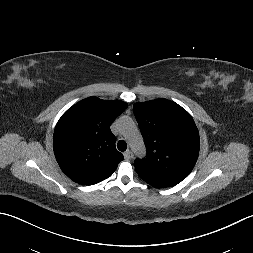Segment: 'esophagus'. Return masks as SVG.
<instances>
[{"label": "esophagus", "mask_w": 253, "mask_h": 253, "mask_svg": "<svg viewBox=\"0 0 253 253\" xmlns=\"http://www.w3.org/2000/svg\"><path fill=\"white\" fill-rule=\"evenodd\" d=\"M131 156H132V152L130 150H127L124 152V158L126 160H129L131 158Z\"/></svg>", "instance_id": "obj_1"}]
</instances>
